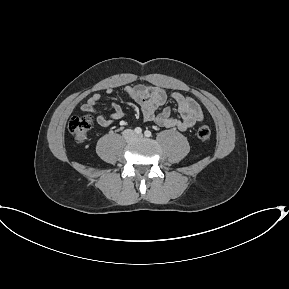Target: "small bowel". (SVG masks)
Segmentation results:
<instances>
[{"label":"small bowel","instance_id":"1","mask_svg":"<svg viewBox=\"0 0 289 289\" xmlns=\"http://www.w3.org/2000/svg\"><path fill=\"white\" fill-rule=\"evenodd\" d=\"M112 92V89L107 90L108 94ZM124 92L129 98L139 104L146 121L155 122L160 126L186 131L203 120V112L200 105L191 97L179 92H174L170 95L177 104L179 117L173 115L170 107L158 112L168 99L167 92L160 87L139 84L126 86ZM100 100L101 94L95 93L81 109L85 113L96 114L95 120L101 127H108L114 121L121 120L125 116L122 108L117 103H111L113 112L109 117L102 113H97L96 108Z\"/></svg>","mask_w":289,"mask_h":289}]
</instances>
